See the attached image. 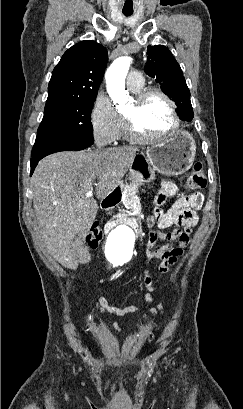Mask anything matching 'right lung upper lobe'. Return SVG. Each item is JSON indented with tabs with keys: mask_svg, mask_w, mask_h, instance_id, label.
<instances>
[{
	"mask_svg": "<svg viewBox=\"0 0 243 409\" xmlns=\"http://www.w3.org/2000/svg\"><path fill=\"white\" fill-rule=\"evenodd\" d=\"M106 61L107 50L95 41L69 48L52 72L47 102L96 98Z\"/></svg>",
	"mask_w": 243,
	"mask_h": 409,
	"instance_id": "right-lung-upper-lobe-1",
	"label": "right lung upper lobe"
}]
</instances>
